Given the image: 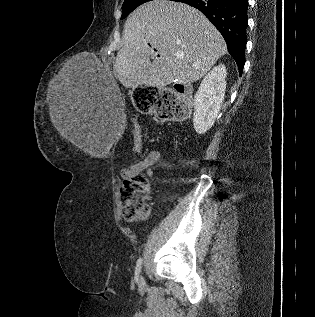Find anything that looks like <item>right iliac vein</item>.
Returning a JSON list of instances; mask_svg holds the SVG:
<instances>
[{
  "label": "right iliac vein",
  "mask_w": 315,
  "mask_h": 317,
  "mask_svg": "<svg viewBox=\"0 0 315 317\" xmlns=\"http://www.w3.org/2000/svg\"><path fill=\"white\" fill-rule=\"evenodd\" d=\"M139 283H140V284H143V283H144V279H143L142 276L139 278Z\"/></svg>",
  "instance_id": "obj_1"
}]
</instances>
